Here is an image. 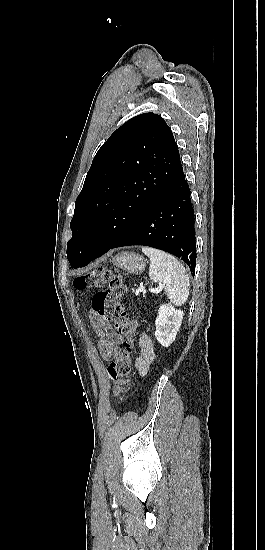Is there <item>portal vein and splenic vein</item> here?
<instances>
[{
    "label": "portal vein and splenic vein",
    "instance_id": "obj_1",
    "mask_svg": "<svg viewBox=\"0 0 265 550\" xmlns=\"http://www.w3.org/2000/svg\"><path fill=\"white\" fill-rule=\"evenodd\" d=\"M157 291H158V290H153V289H151V292H157Z\"/></svg>",
    "mask_w": 265,
    "mask_h": 550
}]
</instances>
